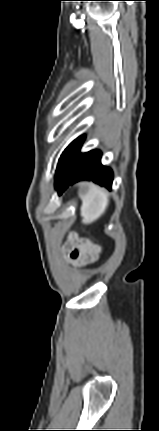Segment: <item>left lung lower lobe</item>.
<instances>
[{
    "label": "left lung lower lobe",
    "mask_w": 159,
    "mask_h": 431,
    "mask_svg": "<svg viewBox=\"0 0 159 431\" xmlns=\"http://www.w3.org/2000/svg\"><path fill=\"white\" fill-rule=\"evenodd\" d=\"M84 138L80 136L75 140L56 175L55 187L58 194H61L69 185L85 179L111 189L113 173L111 169L101 164V152L92 150L80 153Z\"/></svg>",
    "instance_id": "left-lung-lower-lobe-1"
}]
</instances>
